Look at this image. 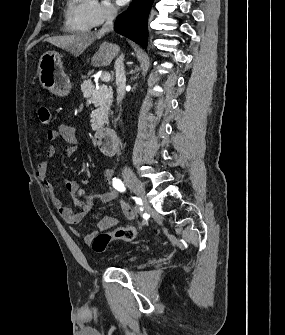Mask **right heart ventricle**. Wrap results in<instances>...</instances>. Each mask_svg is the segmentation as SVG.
<instances>
[{
    "instance_id": "1",
    "label": "right heart ventricle",
    "mask_w": 285,
    "mask_h": 335,
    "mask_svg": "<svg viewBox=\"0 0 285 335\" xmlns=\"http://www.w3.org/2000/svg\"><path fill=\"white\" fill-rule=\"evenodd\" d=\"M79 27L83 30H88L90 27H92V25H91L89 19L87 18V19L79 22Z\"/></svg>"
}]
</instances>
